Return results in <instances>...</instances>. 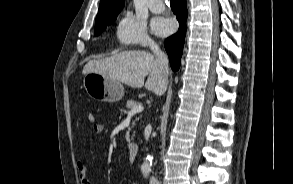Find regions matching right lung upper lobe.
I'll return each mask as SVG.
<instances>
[{"instance_id": "1", "label": "right lung upper lobe", "mask_w": 293, "mask_h": 184, "mask_svg": "<svg viewBox=\"0 0 293 184\" xmlns=\"http://www.w3.org/2000/svg\"><path fill=\"white\" fill-rule=\"evenodd\" d=\"M125 0H101L95 25L115 21L122 10Z\"/></svg>"}]
</instances>
